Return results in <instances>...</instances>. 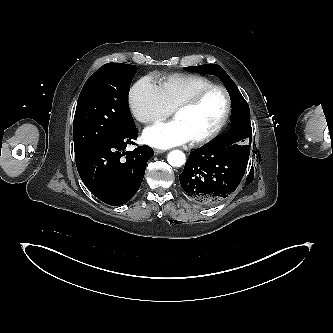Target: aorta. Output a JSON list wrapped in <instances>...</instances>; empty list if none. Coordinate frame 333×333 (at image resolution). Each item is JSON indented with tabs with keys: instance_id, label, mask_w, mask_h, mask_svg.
<instances>
[{
	"instance_id": "1",
	"label": "aorta",
	"mask_w": 333,
	"mask_h": 333,
	"mask_svg": "<svg viewBox=\"0 0 333 333\" xmlns=\"http://www.w3.org/2000/svg\"><path fill=\"white\" fill-rule=\"evenodd\" d=\"M167 161L173 167H181L185 163L186 157L182 151L173 150L168 154Z\"/></svg>"
}]
</instances>
